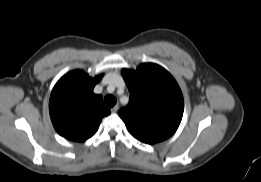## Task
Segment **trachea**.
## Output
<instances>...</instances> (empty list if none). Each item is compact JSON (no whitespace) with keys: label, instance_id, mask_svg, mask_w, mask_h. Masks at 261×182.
Masks as SVG:
<instances>
[{"label":"trachea","instance_id":"trachea-1","mask_svg":"<svg viewBox=\"0 0 261 182\" xmlns=\"http://www.w3.org/2000/svg\"><path fill=\"white\" fill-rule=\"evenodd\" d=\"M104 103L107 107H113L116 104V98L113 95H107L104 98Z\"/></svg>","mask_w":261,"mask_h":182}]
</instances>
